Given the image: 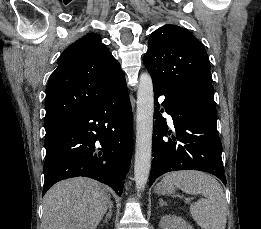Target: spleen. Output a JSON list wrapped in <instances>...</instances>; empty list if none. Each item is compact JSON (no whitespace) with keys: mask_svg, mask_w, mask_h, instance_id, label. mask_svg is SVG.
I'll return each instance as SVG.
<instances>
[{"mask_svg":"<svg viewBox=\"0 0 261 229\" xmlns=\"http://www.w3.org/2000/svg\"><path fill=\"white\" fill-rule=\"evenodd\" d=\"M163 181L177 185L188 195L205 197L190 207L192 219L201 229H225L227 201L220 183L214 177L202 171H172L166 173Z\"/></svg>","mask_w":261,"mask_h":229,"instance_id":"1","label":"spleen"}]
</instances>
